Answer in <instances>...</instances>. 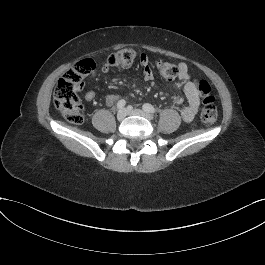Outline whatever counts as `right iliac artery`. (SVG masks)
Instances as JSON below:
<instances>
[{
  "mask_svg": "<svg viewBox=\"0 0 265 265\" xmlns=\"http://www.w3.org/2000/svg\"><path fill=\"white\" fill-rule=\"evenodd\" d=\"M125 105H126V101L125 100H120V101L117 102V108L118 109H123Z\"/></svg>",
  "mask_w": 265,
  "mask_h": 265,
  "instance_id": "right-iliac-artery-1",
  "label": "right iliac artery"
}]
</instances>
